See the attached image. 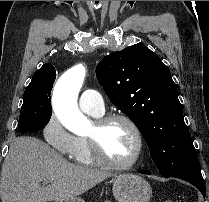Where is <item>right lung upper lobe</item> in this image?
<instances>
[{
	"instance_id": "obj_1",
	"label": "right lung upper lobe",
	"mask_w": 209,
	"mask_h": 202,
	"mask_svg": "<svg viewBox=\"0 0 209 202\" xmlns=\"http://www.w3.org/2000/svg\"><path fill=\"white\" fill-rule=\"evenodd\" d=\"M39 77H46V78L56 77V70L54 66L50 63H45L38 71H36L33 74L32 79L39 78Z\"/></svg>"
}]
</instances>
